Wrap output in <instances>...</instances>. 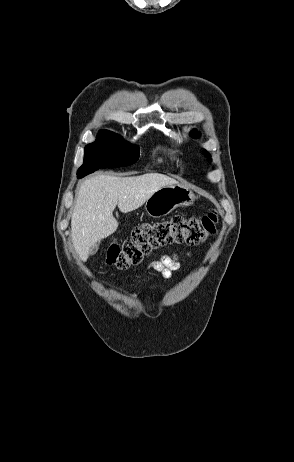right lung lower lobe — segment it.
Instances as JSON below:
<instances>
[{"instance_id":"98d812e1","label":"right lung lower lobe","mask_w":294,"mask_h":462,"mask_svg":"<svg viewBox=\"0 0 294 462\" xmlns=\"http://www.w3.org/2000/svg\"><path fill=\"white\" fill-rule=\"evenodd\" d=\"M113 168L118 167V162L116 158H113L111 155L105 153H98L91 158L90 169L82 174L79 175L78 178H82L87 174L94 172L99 168Z\"/></svg>"}]
</instances>
